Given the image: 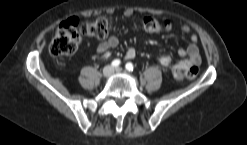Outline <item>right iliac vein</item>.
<instances>
[{"label":"right iliac vein","mask_w":247,"mask_h":145,"mask_svg":"<svg viewBox=\"0 0 247 145\" xmlns=\"http://www.w3.org/2000/svg\"><path fill=\"white\" fill-rule=\"evenodd\" d=\"M113 73V69H112V67H106L104 70H103V74L105 75V76H110L111 74Z\"/></svg>","instance_id":"obj_1"}]
</instances>
